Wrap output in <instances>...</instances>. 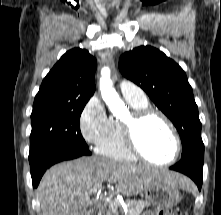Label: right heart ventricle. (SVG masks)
<instances>
[{"instance_id": "right-heart-ventricle-1", "label": "right heart ventricle", "mask_w": 221, "mask_h": 215, "mask_svg": "<svg viewBox=\"0 0 221 215\" xmlns=\"http://www.w3.org/2000/svg\"><path fill=\"white\" fill-rule=\"evenodd\" d=\"M134 109L148 107V101L125 98ZM97 152L105 157L118 161H134L136 157L128 150L123 136L122 120L109 118L108 130L105 137L97 144Z\"/></svg>"}]
</instances>
